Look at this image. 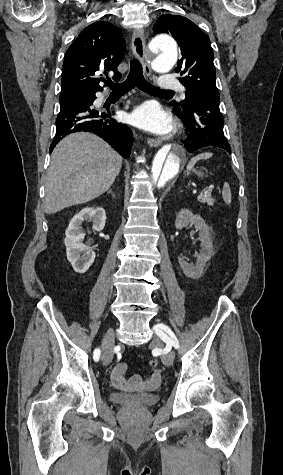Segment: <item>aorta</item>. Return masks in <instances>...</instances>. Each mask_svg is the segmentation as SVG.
Listing matches in <instances>:
<instances>
[{
  "mask_svg": "<svg viewBox=\"0 0 283 475\" xmlns=\"http://www.w3.org/2000/svg\"><path fill=\"white\" fill-rule=\"evenodd\" d=\"M150 50L157 55L154 68L160 73L172 69L177 60V44L168 35H158L149 44ZM186 160V151L182 145H164L155 155L148 173L147 190L151 198L164 192L181 171Z\"/></svg>",
  "mask_w": 283,
  "mask_h": 475,
  "instance_id": "obj_1",
  "label": "aorta"
}]
</instances>
